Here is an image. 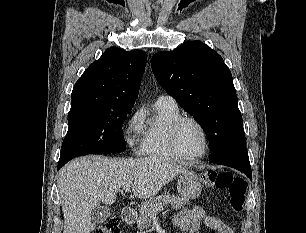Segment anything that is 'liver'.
<instances>
[{
  "label": "liver",
  "instance_id": "obj_1",
  "mask_svg": "<svg viewBox=\"0 0 306 233\" xmlns=\"http://www.w3.org/2000/svg\"><path fill=\"white\" fill-rule=\"evenodd\" d=\"M189 171L161 158L112 159L82 156L58 173L57 186L64 214L63 233H90L95 229L92 211L102 202L116 201L118 190L132 185L134 196L148 199L175 176Z\"/></svg>",
  "mask_w": 306,
  "mask_h": 233
}]
</instances>
